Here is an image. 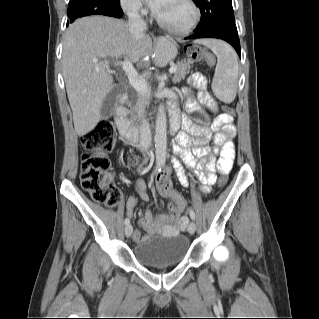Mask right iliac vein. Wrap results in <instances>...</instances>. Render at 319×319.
<instances>
[{"label": "right iliac vein", "instance_id": "obj_1", "mask_svg": "<svg viewBox=\"0 0 319 319\" xmlns=\"http://www.w3.org/2000/svg\"><path fill=\"white\" fill-rule=\"evenodd\" d=\"M133 232V227L131 224H127L125 227V235L129 237Z\"/></svg>", "mask_w": 319, "mask_h": 319}]
</instances>
